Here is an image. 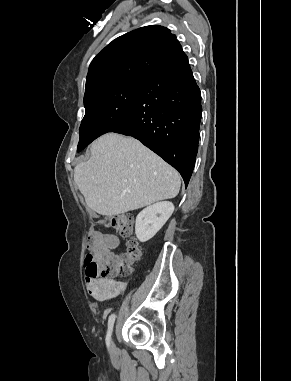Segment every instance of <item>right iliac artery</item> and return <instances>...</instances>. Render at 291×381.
Returning <instances> with one entry per match:
<instances>
[{
  "label": "right iliac artery",
  "mask_w": 291,
  "mask_h": 381,
  "mask_svg": "<svg viewBox=\"0 0 291 381\" xmlns=\"http://www.w3.org/2000/svg\"><path fill=\"white\" fill-rule=\"evenodd\" d=\"M115 314H111L109 316V320H108V332H107V345H109V341H110V336H111V333H112V330H113V325H114V321H115Z\"/></svg>",
  "instance_id": "right-iliac-artery-1"
}]
</instances>
